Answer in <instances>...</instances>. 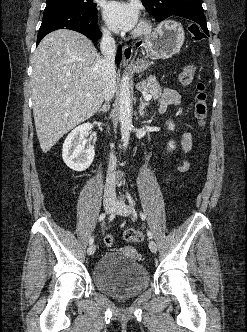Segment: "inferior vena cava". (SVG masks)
<instances>
[{"label":"inferior vena cava","mask_w":247,"mask_h":332,"mask_svg":"<svg viewBox=\"0 0 247 332\" xmlns=\"http://www.w3.org/2000/svg\"><path fill=\"white\" fill-rule=\"evenodd\" d=\"M100 49L103 54L101 65H102V76L105 81L104 99L105 101H109L113 98L116 90L115 56L117 52V47L110 32L107 30L103 31V36L100 43ZM115 168H116V157L113 153H110L105 190H104V199H115L116 197Z\"/></svg>","instance_id":"inferior-vena-cava-1"}]
</instances>
